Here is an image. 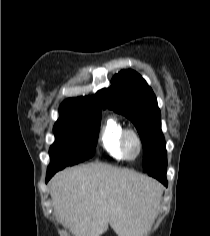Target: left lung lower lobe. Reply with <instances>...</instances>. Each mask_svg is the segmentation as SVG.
Wrapping results in <instances>:
<instances>
[{"instance_id":"0a47b994","label":"left lung lower lobe","mask_w":210,"mask_h":236,"mask_svg":"<svg viewBox=\"0 0 210 236\" xmlns=\"http://www.w3.org/2000/svg\"><path fill=\"white\" fill-rule=\"evenodd\" d=\"M166 171H167V159L163 162L156 165L151 170L147 171L146 173L156 179H158L160 182H162L165 186H167V180H166Z\"/></svg>"}]
</instances>
